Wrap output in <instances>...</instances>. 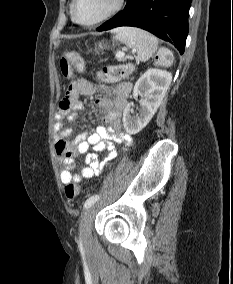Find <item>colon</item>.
<instances>
[{
  "label": "colon",
  "mask_w": 233,
  "mask_h": 284,
  "mask_svg": "<svg viewBox=\"0 0 233 284\" xmlns=\"http://www.w3.org/2000/svg\"><path fill=\"white\" fill-rule=\"evenodd\" d=\"M174 56L171 50L162 47L154 57L153 63L158 67H169L173 64ZM61 73L65 78H70L73 70L82 73L85 70V64L81 55L73 50H67L60 58ZM133 71V66L129 64L111 65L102 68L98 72L100 80L108 83L117 82L129 76ZM65 195L72 200L79 195V187L74 183L65 186Z\"/></svg>",
  "instance_id": "1"
}]
</instances>
